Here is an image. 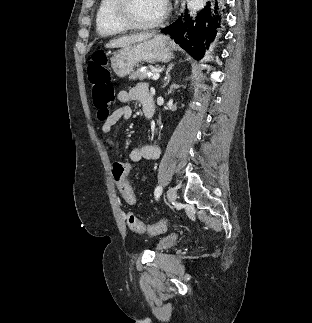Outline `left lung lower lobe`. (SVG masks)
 Instances as JSON below:
<instances>
[{
    "mask_svg": "<svg viewBox=\"0 0 312 323\" xmlns=\"http://www.w3.org/2000/svg\"><path fill=\"white\" fill-rule=\"evenodd\" d=\"M223 6L220 0H211L195 18H190L186 12L162 32L169 34L194 59L199 60L206 50L214 49L221 40Z\"/></svg>",
    "mask_w": 312,
    "mask_h": 323,
    "instance_id": "obj_1",
    "label": "left lung lower lobe"
}]
</instances>
